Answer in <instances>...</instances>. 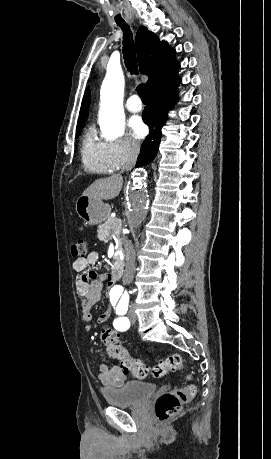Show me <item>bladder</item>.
<instances>
[{
  "label": "bladder",
  "mask_w": 271,
  "mask_h": 459,
  "mask_svg": "<svg viewBox=\"0 0 271 459\" xmlns=\"http://www.w3.org/2000/svg\"><path fill=\"white\" fill-rule=\"evenodd\" d=\"M154 391L156 385L153 382L133 381L118 390L103 391V395L109 405H141Z\"/></svg>",
  "instance_id": "obj_1"
}]
</instances>
